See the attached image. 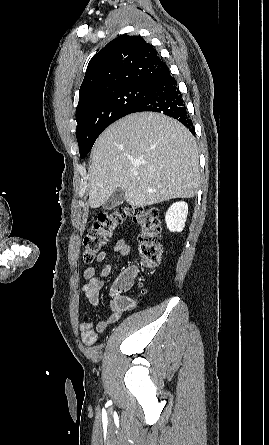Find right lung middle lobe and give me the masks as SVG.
<instances>
[{"label":"right lung middle lobe","mask_w":269,"mask_h":445,"mask_svg":"<svg viewBox=\"0 0 269 445\" xmlns=\"http://www.w3.org/2000/svg\"><path fill=\"white\" fill-rule=\"evenodd\" d=\"M151 92L150 85H128L86 102L76 110L77 141L80 157L91 150L101 132L114 121L133 113Z\"/></svg>","instance_id":"obj_1"}]
</instances>
